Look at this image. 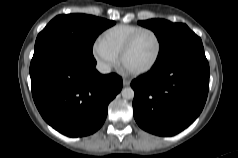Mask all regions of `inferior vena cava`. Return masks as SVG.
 <instances>
[{
  "label": "inferior vena cava",
  "instance_id": "inferior-vena-cava-1",
  "mask_svg": "<svg viewBox=\"0 0 238 158\" xmlns=\"http://www.w3.org/2000/svg\"><path fill=\"white\" fill-rule=\"evenodd\" d=\"M96 69L102 74H107L111 72L110 65L105 62H98Z\"/></svg>",
  "mask_w": 238,
  "mask_h": 158
}]
</instances>
